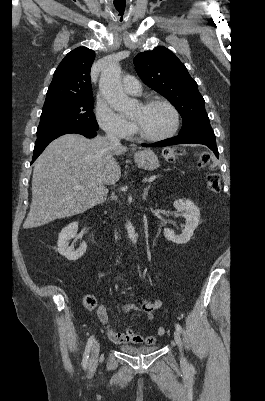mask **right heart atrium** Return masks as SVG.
I'll return each mask as SVG.
<instances>
[{
    "mask_svg": "<svg viewBox=\"0 0 265 401\" xmlns=\"http://www.w3.org/2000/svg\"><path fill=\"white\" fill-rule=\"evenodd\" d=\"M95 117L99 127L112 138H127L134 132L133 124L124 120L105 101H98L95 107Z\"/></svg>",
    "mask_w": 265,
    "mask_h": 401,
    "instance_id": "right-heart-atrium-1",
    "label": "right heart atrium"
}]
</instances>
